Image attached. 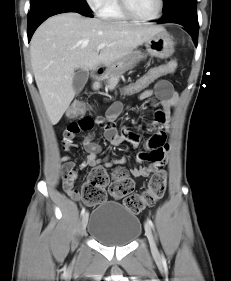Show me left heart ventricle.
<instances>
[{"instance_id": "1", "label": "left heart ventricle", "mask_w": 231, "mask_h": 281, "mask_svg": "<svg viewBox=\"0 0 231 281\" xmlns=\"http://www.w3.org/2000/svg\"><path fill=\"white\" fill-rule=\"evenodd\" d=\"M132 11L139 17L150 18L158 10V0H128Z\"/></svg>"}]
</instances>
